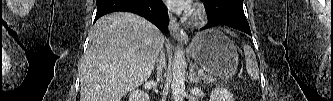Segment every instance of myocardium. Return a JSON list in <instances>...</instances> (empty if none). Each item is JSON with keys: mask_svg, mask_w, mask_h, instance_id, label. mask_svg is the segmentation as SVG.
Instances as JSON below:
<instances>
[{"mask_svg": "<svg viewBox=\"0 0 333 101\" xmlns=\"http://www.w3.org/2000/svg\"><path fill=\"white\" fill-rule=\"evenodd\" d=\"M205 18V12L202 9H197L193 15V22L195 24H200L205 20Z\"/></svg>", "mask_w": 333, "mask_h": 101, "instance_id": "f54148a6", "label": "myocardium"}]
</instances>
